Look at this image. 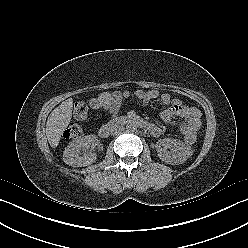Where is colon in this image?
Here are the masks:
<instances>
[{
    "mask_svg": "<svg viewBox=\"0 0 248 248\" xmlns=\"http://www.w3.org/2000/svg\"><path fill=\"white\" fill-rule=\"evenodd\" d=\"M106 102V97L103 95L98 96L90 101V106L92 108L102 107ZM88 114V107L83 101H78L74 104L73 115L76 120H84ZM82 135V127L79 124L72 123L64 132V137L66 139H77ZM187 144H194L197 140L196 136H188L184 138Z\"/></svg>",
    "mask_w": 248,
    "mask_h": 248,
    "instance_id": "obj_1",
    "label": "colon"
}]
</instances>
